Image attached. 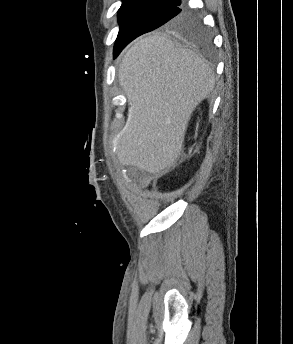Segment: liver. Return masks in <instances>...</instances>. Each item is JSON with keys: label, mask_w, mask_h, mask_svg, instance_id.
I'll return each instance as SVG.
<instances>
[{"label": "liver", "mask_w": 293, "mask_h": 344, "mask_svg": "<svg viewBox=\"0 0 293 344\" xmlns=\"http://www.w3.org/2000/svg\"><path fill=\"white\" fill-rule=\"evenodd\" d=\"M118 76L129 105L115 141L118 160L160 173L179 157L192 112L215 87L214 71L193 51L156 34L128 49Z\"/></svg>", "instance_id": "1"}]
</instances>
